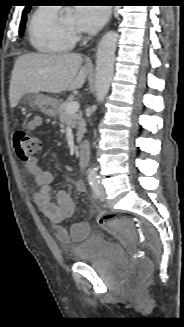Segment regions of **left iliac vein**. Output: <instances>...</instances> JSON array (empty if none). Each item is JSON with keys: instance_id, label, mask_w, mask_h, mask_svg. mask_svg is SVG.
Returning a JSON list of instances; mask_svg holds the SVG:
<instances>
[{"instance_id": "4c4485c4", "label": "left iliac vein", "mask_w": 184, "mask_h": 327, "mask_svg": "<svg viewBox=\"0 0 184 327\" xmlns=\"http://www.w3.org/2000/svg\"><path fill=\"white\" fill-rule=\"evenodd\" d=\"M99 199L101 201H104L105 200L104 188L101 185H99Z\"/></svg>"}]
</instances>
